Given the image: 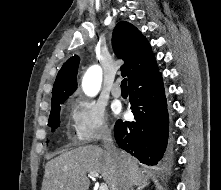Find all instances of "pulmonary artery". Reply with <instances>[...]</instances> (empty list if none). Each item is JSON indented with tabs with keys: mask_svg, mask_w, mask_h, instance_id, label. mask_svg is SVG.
<instances>
[{
	"mask_svg": "<svg viewBox=\"0 0 221 190\" xmlns=\"http://www.w3.org/2000/svg\"><path fill=\"white\" fill-rule=\"evenodd\" d=\"M111 93L114 97L119 98L122 95V90L120 87V84L118 82H116L115 84H113V86L111 87Z\"/></svg>",
	"mask_w": 221,
	"mask_h": 190,
	"instance_id": "1",
	"label": "pulmonary artery"
}]
</instances>
